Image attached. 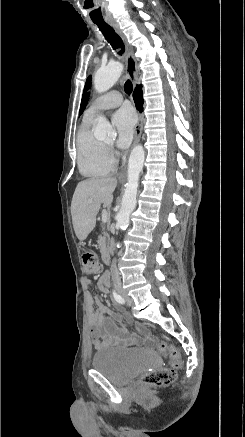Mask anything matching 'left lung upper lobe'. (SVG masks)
Listing matches in <instances>:
<instances>
[{
    "label": "left lung upper lobe",
    "instance_id": "1",
    "mask_svg": "<svg viewBox=\"0 0 245 437\" xmlns=\"http://www.w3.org/2000/svg\"><path fill=\"white\" fill-rule=\"evenodd\" d=\"M91 79H92L91 76H89L84 86V91H83L81 106H80V114L83 113L84 109L86 108L87 102L89 100V95H90L89 89L91 88Z\"/></svg>",
    "mask_w": 245,
    "mask_h": 437
}]
</instances>
